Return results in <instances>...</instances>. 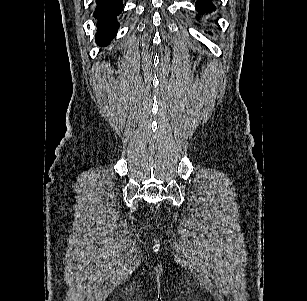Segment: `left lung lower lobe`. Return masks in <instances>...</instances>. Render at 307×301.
<instances>
[{
  "instance_id": "left-lung-lower-lobe-1",
  "label": "left lung lower lobe",
  "mask_w": 307,
  "mask_h": 301,
  "mask_svg": "<svg viewBox=\"0 0 307 301\" xmlns=\"http://www.w3.org/2000/svg\"><path fill=\"white\" fill-rule=\"evenodd\" d=\"M196 9L200 14L211 13L216 10L212 0H197Z\"/></svg>"
}]
</instances>
